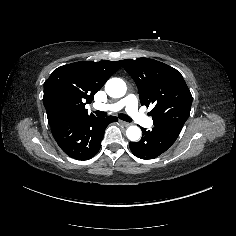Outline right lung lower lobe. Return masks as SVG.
Wrapping results in <instances>:
<instances>
[{
  "label": "right lung lower lobe",
  "mask_w": 236,
  "mask_h": 236,
  "mask_svg": "<svg viewBox=\"0 0 236 236\" xmlns=\"http://www.w3.org/2000/svg\"><path fill=\"white\" fill-rule=\"evenodd\" d=\"M115 116L96 118L94 116L71 119L51 127V132L59 147L70 157L87 160L97 154L104 137V130Z\"/></svg>",
  "instance_id": "right-lung-lower-lobe-1"
}]
</instances>
